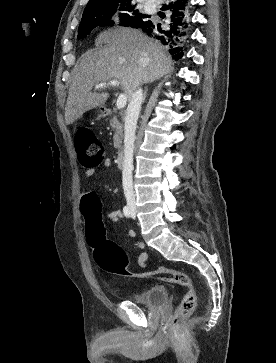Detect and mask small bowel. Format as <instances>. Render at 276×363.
<instances>
[{"mask_svg":"<svg viewBox=\"0 0 276 363\" xmlns=\"http://www.w3.org/2000/svg\"><path fill=\"white\" fill-rule=\"evenodd\" d=\"M110 166V159H105L103 160L98 166L97 168L95 167H91L89 169H87L86 171V176L87 177H92L96 174L97 169H104ZM99 207V201H98V196L97 194L89 189H85L82 192V199H81V209L83 214L87 217L89 213L98 210ZM108 218L112 221L115 222L117 224H121L122 223V213L119 210L116 211H112L108 214ZM129 236L131 238H134V233L130 232ZM135 245L143 250L141 252V254L138 257V263L142 268H147L149 266V256L148 253L144 250L145 249V243L140 241V240H135ZM130 275V274H128ZM138 275V274H135ZM120 276H124V275H117V274H108L107 277L109 279H117Z\"/></svg>","mask_w":276,"mask_h":363,"instance_id":"1","label":"small bowel"}]
</instances>
